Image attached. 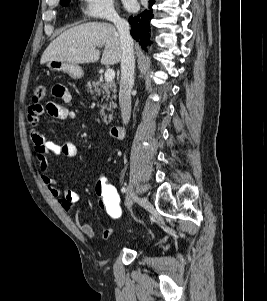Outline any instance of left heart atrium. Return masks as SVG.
Listing matches in <instances>:
<instances>
[{
	"instance_id": "39dd6f15",
	"label": "left heart atrium",
	"mask_w": 267,
	"mask_h": 301,
	"mask_svg": "<svg viewBox=\"0 0 267 301\" xmlns=\"http://www.w3.org/2000/svg\"><path fill=\"white\" fill-rule=\"evenodd\" d=\"M125 7L129 10H132L136 6L135 0H123Z\"/></svg>"
}]
</instances>
